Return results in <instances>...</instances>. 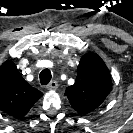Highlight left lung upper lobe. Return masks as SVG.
I'll use <instances>...</instances> for the list:
<instances>
[{"mask_svg":"<svg viewBox=\"0 0 133 133\" xmlns=\"http://www.w3.org/2000/svg\"><path fill=\"white\" fill-rule=\"evenodd\" d=\"M111 85V76L103 60L95 53H87L77 67L76 82L66 88V95L72 107L85 114L102 104Z\"/></svg>","mask_w":133,"mask_h":133,"instance_id":"1","label":"left lung upper lobe"}]
</instances>
